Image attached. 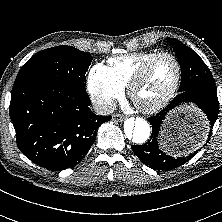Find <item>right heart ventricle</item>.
Listing matches in <instances>:
<instances>
[{
    "instance_id": "right-heart-ventricle-1",
    "label": "right heart ventricle",
    "mask_w": 222,
    "mask_h": 222,
    "mask_svg": "<svg viewBox=\"0 0 222 222\" xmlns=\"http://www.w3.org/2000/svg\"><path fill=\"white\" fill-rule=\"evenodd\" d=\"M158 52H137L130 55L113 57L107 67L112 78L123 88L128 87L137 70Z\"/></svg>"
}]
</instances>
